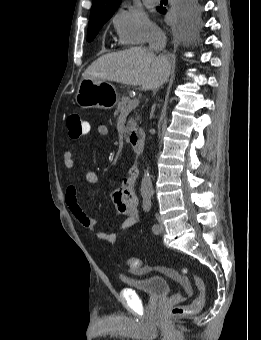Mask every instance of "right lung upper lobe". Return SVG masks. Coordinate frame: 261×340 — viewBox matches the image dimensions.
Returning a JSON list of instances; mask_svg holds the SVG:
<instances>
[{"mask_svg":"<svg viewBox=\"0 0 261 340\" xmlns=\"http://www.w3.org/2000/svg\"><path fill=\"white\" fill-rule=\"evenodd\" d=\"M121 0H93L89 24L107 17L116 11Z\"/></svg>","mask_w":261,"mask_h":340,"instance_id":"right-lung-upper-lobe-1","label":"right lung upper lobe"}]
</instances>
